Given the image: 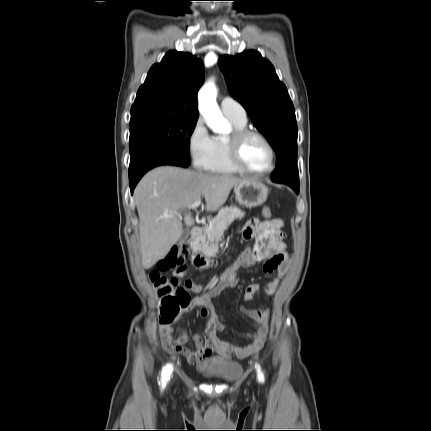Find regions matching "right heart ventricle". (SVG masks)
Masks as SVG:
<instances>
[{
  "mask_svg": "<svg viewBox=\"0 0 431 431\" xmlns=\"http://www.w3.org/2000/svg\"><path fill=\"white\" fill-rule=\"evenodd\" d=\"M228 118L231 121L234 130L246 128V122H240L230 117ZM209 171L211 173L225 175L237 174L241 172L232 164L229 158L226 139L219 138L215 140V153Z\"/></svg>",
  "mask_w": 431,
  "mask_h": 431,
  "instance_id": "right-heart-ventricle-1",
  "label": "right heart ventricle"
}]
</instances>
